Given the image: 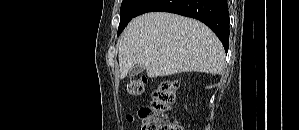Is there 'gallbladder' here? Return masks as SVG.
I'll list each match as a JSON object with an SVG mask.
<instances>
[{"label": "gallbladder", "mask_w": 299, "mask_h": 130, "mask_svg": "<svg viewBox=\"0 0 299 130\" xmlns=\"http://www.w3.org/2000/svg\"><path fill=\"white\" fill-rule=\"evenodd\" d=\"M145 69L143 67H141L138 64H135L133 66L130 67L129 71H128V75L130 77H134L139 75L140 73H142Z\"/></svg>", "instance_id": "gallbladder-1"}]
</instances>
